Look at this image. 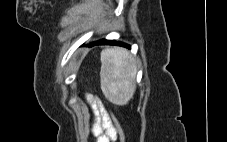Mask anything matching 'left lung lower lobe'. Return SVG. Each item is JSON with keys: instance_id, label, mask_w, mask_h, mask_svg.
<instances>
[{"instance_id": "0a47b994", "label": "left lung lower lobe", "mask_w": 227, "mask_h": 142, "mask_svg": "<svg viewBox=\"0 0 227 142\" xmlns=\"http://www.w3.org/2000/svg\"><path fill=\"white\" fill-rule=\"evenodd\" d=\"M99 44L119 45V46H124V47L130 48L129 45H126L124 43L116 42V41H113V40H105V39L96 41V42L90 44V46L99 45Z\"/></svg>"}]
</instances>
